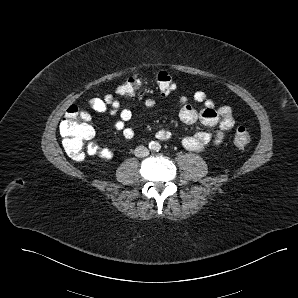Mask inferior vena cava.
<instances>
[{"mask_svg":"<svg viewBox=\"0 0 298 298\" xmlns=\"http://www.w3.org/2000/svg\"><path fill=\"white\" fill-rule=\"evenodd\" d=\"M136 157L143 158L149 155V149L145 146H137L134 150Z\"/></svg>","mask_w":298,"mask_h":298,"instance_id":"inferior-vena-cava-1","label":"inferior vena cava"}]
</instances>
